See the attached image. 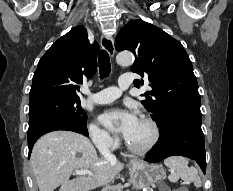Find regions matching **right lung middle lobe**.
<instances>
[{
  "label": "right lung middle lobe",
  "mask_w": 233,
  "mask_h": 191,
  "mask_svg": "<svg viewBox=\"0 0 233 191\" xmlns=\"http://www.w3.org/2000/svg\"><path fill=\"white\" fill-rule=\"evenodd\" d=\"M29 100V125L49 117L70 120L86 127L87 115L81 108L80 99L49 93Z\"/></svg>",
  "instance_id": "right-lung-middle-lobe-1"
}]
</instances>
